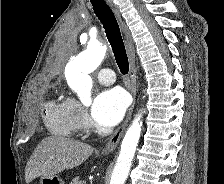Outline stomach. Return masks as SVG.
<instances>
[{
  "mask_svg": "<svg viewBox=\"0 0 224 184\" xmlns=\"http://www.w3.org/2000/svg\"><path fill=\"white\" fill-rule=\"evenodd\" d=\"M40 184H64V181L58 175L52 177L41 176Z\"/></svg>",
  "mask_w": 224,
  "mask_h": 184,
  "instance_id": "0dacf381",
  "label": "stomach"
}]
</instances>
